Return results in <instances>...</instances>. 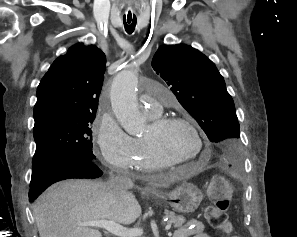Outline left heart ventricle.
<instances>
[{
	"mask_svg": "<svg viewBox=\"0 0 297 237\" xmlns=\"http://www.w3.org/2000/svg\"><path fill=\"white\" fill-rule=\"evenodd\" d=\"M143 137H151L172 159H188L196 155L198 142L190 131L183 124H171L155 131L151 128V122L147 126Z\"/></svg>",
	"mask_w": 297,
	"mask_h": 237,
	"instance_id": "b2bd125f",
	"label": "left heart ventricle"
}]
</instances>
